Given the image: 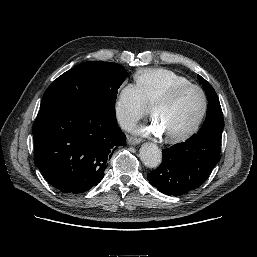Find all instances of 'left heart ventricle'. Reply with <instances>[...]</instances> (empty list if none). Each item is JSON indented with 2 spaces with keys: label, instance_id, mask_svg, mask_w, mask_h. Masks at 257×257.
Masks as SVG:
<instances>
[{
  "label": "left heart ventricle",
  "instance_id": "b2bd125f",
  "mask_svg": "<svg viewBox=\"0 0 257 257\" xmlns=\"http://www.w3.org/2000/svg\"><path fill=\"white\" fill-rule=\"evenodd\" d=\"M202 108V98L197 90H187L170 104L155 109V118L166 135L188 129L197 119Z\"/></svg>",
  "mask_w": 257,
  "mask_h": 257
}]
</instances>
